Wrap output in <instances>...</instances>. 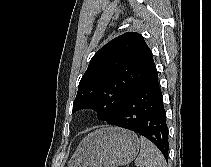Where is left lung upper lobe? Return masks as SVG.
<instances>
[{
    "label": "left lung upper lobe",
    "mask_w": 211,
    "mask_h": 167,
    "mask_svg": "<svg viewBox=\"0 0 211 167\" xmlns=\"http://www.w3.org/2000/svg\"><path fill=\"white\" fill-rule=\"evenodd\" d=\"M152 52L139 33H124L98 50L83 75L73 113L92 108L108 122L126 99L155 73Z\"/></svg>",
    "instance_id": "1"
}]
</instances>
